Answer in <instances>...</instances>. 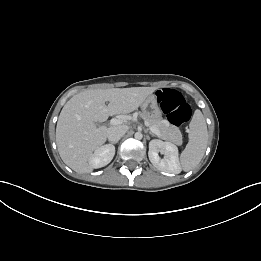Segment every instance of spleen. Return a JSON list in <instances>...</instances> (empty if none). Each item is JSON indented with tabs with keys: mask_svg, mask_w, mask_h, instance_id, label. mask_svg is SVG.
Instances as JSON below:
<instances>
[{
	"mask_svg": "<svg viewBox=\"0 0 261 261\" xmlns=\"http://www.w3.org/2000/svg\"><path fill=\"white\" fill-rule=\"evenodd\" d=\"M207 141V125L202 113L197 110L190 122L189 142L180 156L184 171L192 170L200 163L207 147Z\"/></svg>",
	"mask_w": 261,
	"mask_h": 261,
	"instance_id": "spleen-1",
	"label": "spleen"
}]
</instances>
